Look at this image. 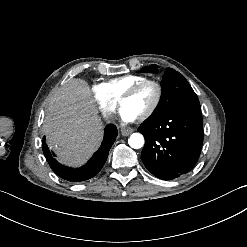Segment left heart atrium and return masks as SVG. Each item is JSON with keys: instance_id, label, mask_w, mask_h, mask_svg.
I'll list each match as a JSON object with an SVG mask.
<instances>
[{"instance_id": "39dd6f15", "label": "left heart atrium", "mask_w": 247, "mask_h": 247, "mask_svg": "<svg viewBox=\"0 0 247 247\" xmlns=\"http://www.w3.org/2000/svg\"><path fill=\"white\" fill-rule=\"evenodd\" d=\"M120 119L123 123H132L139 119V112L126 107L120 112Z\"/></svg>"}]
</instances>
